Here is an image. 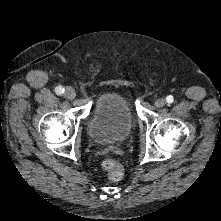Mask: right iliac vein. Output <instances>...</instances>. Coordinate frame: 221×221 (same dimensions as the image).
Returning <instances> with one entry per match:
<instances>
[{
    "instance_id": "obj_1",
    "label": "right iliac vein",
    "mask_w": 221,
    "mask_h": 221,
    "mask_svg": "<svg viewBox=\"0 0 221 221\" xmlns=\"http://www.w3.org/2000/svg\"><path fill=\"white\" fill-rule=\"evenodd\" d=\"M64 96L67 98V99H74L75 96H76V93L75 91L71 88V87H67L65 89V92H64Z\"/></svg>"
}]
</instances>
